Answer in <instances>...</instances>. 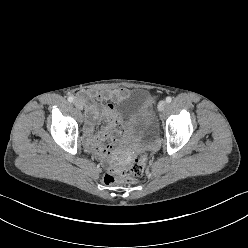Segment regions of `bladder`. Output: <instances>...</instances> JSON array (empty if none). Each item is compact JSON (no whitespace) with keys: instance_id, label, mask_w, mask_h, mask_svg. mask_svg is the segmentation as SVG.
<instances>
[{"instance_id":"bladder-1","label":"bladder","mask_w":248,"mask_h":248,"mask_svg":"<svg viewBox=\"0 0 248 248\" xmlns=\"http://www.w3.org/2000/svg\"><path fill=\"white\" fill-rule=\"evenodd\" d=\"M151 100L147 90L137 89L118 103V110L129 129L127 136L138 140L143 147L156 138V128L149 115Z\"/></svg>"}]
</instances>
